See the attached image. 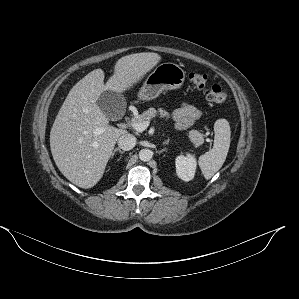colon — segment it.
Masks as SVG:
<instances>
[{
	"instance_id": "obj_1",
	"label": "colon",
	"mask_w": 299,
	"mask_h": 299,
	"mask_svg": "<svg viewBox=\"0 0 299 299\" xmlns=\"http://www.w3.org/2000/svg\"><path fill=\"white\" fill-rule=\"evenodd\" d=\"M189 80L196 88L203 90L211 102L223 104L230 99L228 91L218 84L210 83L207 74L203 71L191 72Z\"/></svg>"
}]
</instances>
